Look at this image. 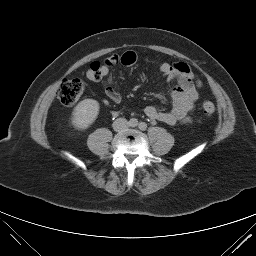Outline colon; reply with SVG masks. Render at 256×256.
<instances>
[{"label": "colon", "mask_w": 256, "mask_h": 256, "mask_svg": "<svg viewBox=\"0 0 256 256\" xmlns=\"http://www.w3.org/2000/svg\"><path fill=\"white\" fill-rule=\"evenodd\" d=\"M104 64L100 62H93L89 65L86 71V77L93 81L100 80L103 75ZM199 85V83H197ZM84 85L80 79H65L59 85L57 95L60 102L65 106H73L80 99L83 94ZM215 106L212 102L206 101L203 103V111L207 115L215 113Z\"/></svg>", "instance_id": "colon-1"}]
</instances>
